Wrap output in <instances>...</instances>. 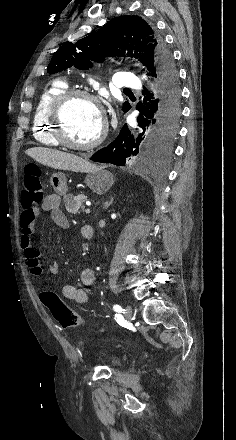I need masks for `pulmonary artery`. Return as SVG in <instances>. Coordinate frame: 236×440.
Segmentation results:
<instances>
[{
  "label": "pulmonary artery",
  "instance_id": "e3ab8cb5",
  "mask_svg": "<svg viewBox=\"0 0 236 440\" xmlns=\"http://www.w3.org/2000/svg\"><path fill=\"white\" fill-rule=\"evenodd\" d=\"M113 82L116 87L126 89H137L138 80L132 73L119 72L113 77Z\"/></svg>",
  "mask_w": 236,
  "mask_h": 440
}]
</instances>
